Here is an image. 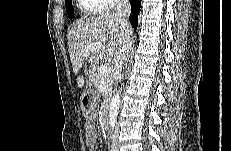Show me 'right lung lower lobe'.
<instances>
[{
    "label": "right lung lower lobe",
    "instance_id": "right-lung-lower-lobe-1",
    "mask_svg": "<svg viewBox=\"0 0 231 151\" xmlns=\"http://www.w3.org/2000/svg\"><path fill=\"white\" fill-rule=\"evenodd\" d=\"M131 4V14L129 21L132 26L136 29L138 24V13L141 7V0H129Z\"/></svg>",
    "mask_w": 231,
    "mask_h": 151
}]
</instances>
